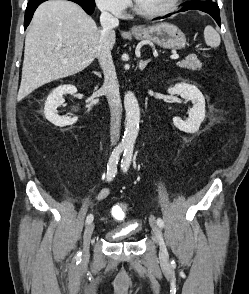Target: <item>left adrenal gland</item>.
Masks as SVG:
<instances>
[{
    "label": "left adrenal gland",
    "instance_id": "a2214340",
    "mask_svg": "<svg viewBox=\"0 0 249 294\" xmlns=\"http://www.w3.org/2000/svg\"><path fill=\"white\" fill-rule=\"evenodd\" d=\"M149 62H150V59H148L146 61H143L141 59L140 62H139V68H140V70H143Z\"/></svg>",
    "mask_w": 249,
    "mask_h": 294
}]
</instances>
